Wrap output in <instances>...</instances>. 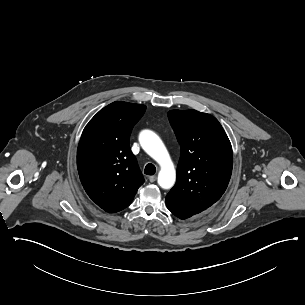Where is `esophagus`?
I'll return each instance as SVG.
<instances>
[{
	"label": "esophagus",
	"mask_w": 305,
	"mask_h": 305,
	"mask_svg": "<svg viewBox=\"0 0 305 305\" xmlns=\"http://www.w3.org/2000/svg\"><path fill=\"white\" fill-rule=\"evenodd\" d=\"M157 180V176L156 175H154V176H149V181L150 182H154V181H156Z\"/></svg>",
	"instance_id": "1"
}]
</instances>
